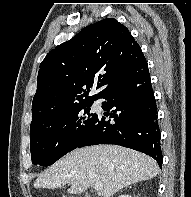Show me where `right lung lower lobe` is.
I'll list each match as a JSON object with an SVG mask.
<instances>
[{
  "mask_svg": "<svg viewBox=\"0 0 191 197\" xmlns=\"http://www.w3.org/2000/svg\"><path fill=\"white\" fill-rule=\"evenodd\" d=\"M99 98L104 100L102 108L111 110V120L97 115L77 148L116 144L145 153L162 167L161 133L148 65L107 88Z\"/></svg>",
  "mask_w": 191,
  "mask_h": 197,
  "instance_id": "1",
  "label": "right lung lower lobe"
}]
</instances>
